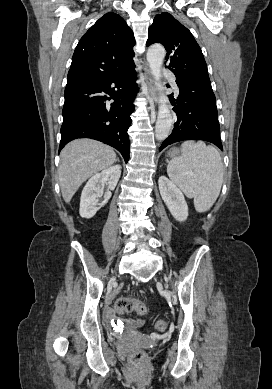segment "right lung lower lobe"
<instances>
[{"mask_svg": "<svg viewBox=\"0 0 272 389\" xmlns=\"http://www.w3.org/2000/svg\"><path fill=\"white\" fill-rule=\"evenodd\" d=\"M136 79L135 64L131 61L97 77L68 81L59 150L73 139L92 138L116 148L127 162V130L138 92ZM111 99L112 103L107 102Z\"/></svg>", "mask_w": 272, "mask_h": 389, "instance_id": "1", "label": "right lung lower lobe"}]
</instances>
